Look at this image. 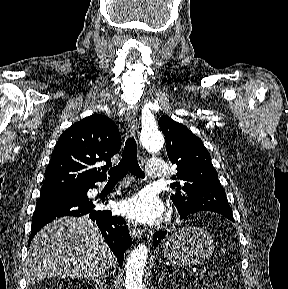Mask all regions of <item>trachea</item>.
<instances>
[{
	"instance_id": "trachea-1",
	"label": "trachea",
	"mask_w": 288,
	"mask_h": 289,
	"mask_svg": "<svg viewBox=\"0 0 288 289\" xmlns=\"http://www.w3.org/2000/svg\"><path fill=\"white\" fill-rule=\"evenodd\" d=\"M128 172L138 178H144L145 174L138 164L137 144L133 137L125 142L124 152L120 163L108 171L110 181L121 180Z\"/></svg>"
}]
</instances>
